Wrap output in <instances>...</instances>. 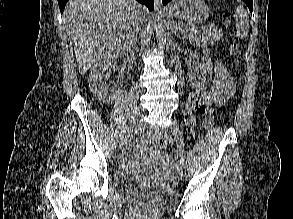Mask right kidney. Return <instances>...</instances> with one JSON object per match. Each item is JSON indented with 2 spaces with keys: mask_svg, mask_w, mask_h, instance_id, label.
Instances as JSON below:
<instances>
[{
  "mask_svg": "<svg viewBox=\"0 0 293 219\" xmlns=\"http://www.w3.org/2000/svg\"><path fill=\"white\" fill-rule=\"evenodd\" d=\"M119 70L117 62L114 59H104L96 63L89 74V87L91 92L103 103H111L116 98V91L113 85L108 83V78L105 71Z\"/></svg>",
  "mask_w": 293,
  "mask_h": 219,
  "instance_id": "right-kidney-1",
  "label": "right kidney"
}]
</instances>
